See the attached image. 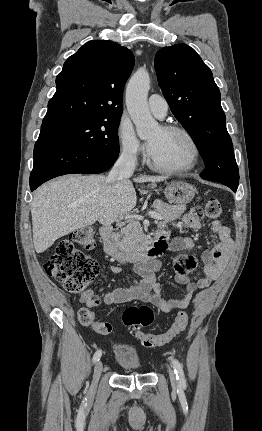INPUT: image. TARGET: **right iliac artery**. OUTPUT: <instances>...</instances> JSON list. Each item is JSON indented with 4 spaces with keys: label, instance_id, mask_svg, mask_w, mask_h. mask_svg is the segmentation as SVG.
<instances>
[{
    "label": "right iliac artery",
    "instance_id": "right-iliac-artery-1",
    "mask_svg": "<svg viewBox=\"0 0 262 431\" xmlns=\"http://www.w3.org/2000/svg\"><path fill=\"white\" fill-rule=\"evenodd\" d=\"M102 355V351L101 350H97L93 356V362L99 361L100 357Z\"/></svg>",
    "mask_w": 262,
    "mask_h": 431
}]
</instances>
